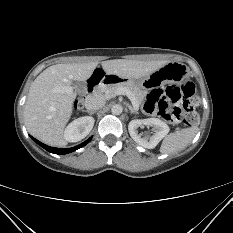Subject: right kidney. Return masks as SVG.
Returning a JSON list of instances; mask_svg holds the SVG:
<instances>
[{"label":"right kidney","instance_id":"right-kidney-1","mask_svg":"<svg viewBox=\"0 0 233 233\" xmlns=\"http://www.w3.org/2000/svg\"><path fill=\"white\" fill-rule=\"evenodd\" d=\"M94 118L80 117L72 121L64 131V138L68 142H78L85 138L94 126Z\"/></svg>","mask_w":233,"mask_h":233}]
</instances>
